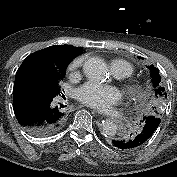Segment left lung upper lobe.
<instances>
[{
    "instance_id": "left-lung-upper-lobe-1",
    "label": "left lung upper lobe",
    "mask_w": 177,
    "mask_h": 177,
    "mask_svg": "<svg viewBox=\"0 0 177 177\" xmlns=\"http://www.w3.org/2000/svg\"><path fill=\"white\" fill-rule=\"evenodd\" d=\"M151 70V78H152V85L154 89V99H153V106L150 111V115H154L156 117L161 116V107L167 98V93L164 88L163 83L161 82V77L159 74V70L155 68L153 65L149 67ZM139 131L141 130L142 124L140 123ZM138 131V132H139Z\"/></svg>"
}]
</instances>
